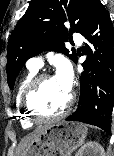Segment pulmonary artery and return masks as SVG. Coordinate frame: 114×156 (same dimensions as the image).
Returning a JSON list of instances; mask_svg holds the SVG:
<instances>
[{"label":"pulmonary artery","mask_w":114,"mask_h":156,"mask_svg":"<svg viewBox=\"0 0 114 156\" xmlns=\"http://www.w3.org/2000/svg\"><path fill=\"white\" fill-rule=\"evenodd\" d=\"M73 38H74V41H75L77 44H81V43H82V37H81L79 34L75 33V34L73 35ZM27 65H28V67H30V68H33V69L38 70V69H40V68L42 67V65H43V59H42L41 56L32 57V58H30V59L28 60Z\"/></svg>","instance_id":"pulmonary-artery-1"}]
</instances>
